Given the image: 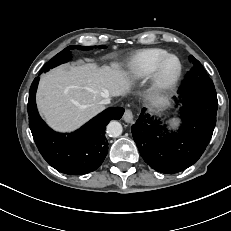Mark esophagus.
I'll list each match as a JSON object with an SVG mask.
<instances>
[{
	"label": "esophagus",
	"mask_w": 231,
	"mask_h": 231,
	"mask_svg": "<svg viewBox=\"0 0 231 231\" xmlns=\"http://www.w3.org/2000/svg\"><path fill=\"white\" fill-rule=\"evenodd\" d=\"M123 120L127 123H130L133 121V113L130 109H126L123 115Z\"/></svg>",
	"instance_id": "esophagus-1"
}]
</instances>
